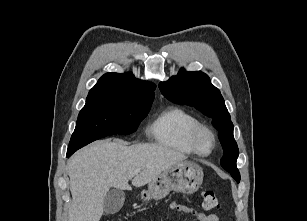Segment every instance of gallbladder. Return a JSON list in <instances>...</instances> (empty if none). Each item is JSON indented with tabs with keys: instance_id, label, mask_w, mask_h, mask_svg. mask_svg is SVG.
<instances>
[{
	"instance_id": "1",
	"label": "gallbladder",
	"mask_w": 307,
	"mask_h": 221,
	"mask_svg": "<svg viewBox=\"0 0 307 221\" xmlns=\"http://www.w3.org/2000/svg\"><path fill=\"white\" fill-rule=\"evenodd\" d=\"M125 193L122 190L113 188L106 194L103 201V209L106 214H115L123 206Z\"/></svg>"
}]
</instances>
